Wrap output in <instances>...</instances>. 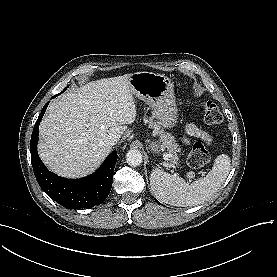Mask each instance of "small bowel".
Wrapping results in <instances>:
<instances>
[{
    "label": "small bowel",
    "instance_id": "small-bowel-1",
    "mask_svg": "<svg viewBox=\"0 0 277 277\" xmlns=\"http://www.w3.org/2000/svg\"><path fill=\"white\" fill-rule=\"evenodd\" d=\"M185 134L189 136L204 138L207 142V145H211L212 137L209 134L205 133L199 126L194 123H190L185 127Z\"/></svg>",
    "mask_w": 277,
    "mask_h": 277
}]
</instances>
